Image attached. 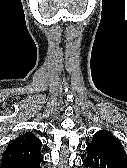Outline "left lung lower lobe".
I'll return each instance as SVG.
<instances>
[{"label":"left lung lower lobe","mask_w":127,"mask_h":168,"mask_svg":"<svg viewBox=\"0 0 127 168\" xmlns=\"http://www.w3.org/2000/svg\"><path fill=\"white\" fill-rule=\"evenodd\" d=\"M83 164L91 168H127V160L112 142L94 138L86 147Z\"/></svg>","instance_id":"left-lung-lower-lobe-1"}]
</instances>
